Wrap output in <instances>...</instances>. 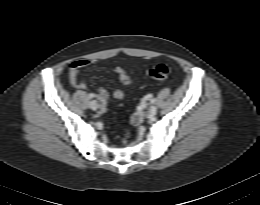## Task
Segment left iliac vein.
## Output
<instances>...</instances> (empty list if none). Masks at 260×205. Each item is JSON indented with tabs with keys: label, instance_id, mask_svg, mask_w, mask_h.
<instances>
[{
	"label": "left iliac vein",
	"instance_id": "obj_1",
	"mask_svg": "<svg viewBox=\"0 0 260 205\" xmlns=\"http://www.w3.org/2000/svg\"><path fill=\"white\" fill-rule=\"evenodd\" d=\"M157 113V107L155 105H151L148 110L149 116H155Z\"/></svg>",
	"mask_w": 260,
	"mask_h": 205
}]
</instances>
